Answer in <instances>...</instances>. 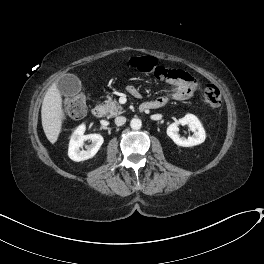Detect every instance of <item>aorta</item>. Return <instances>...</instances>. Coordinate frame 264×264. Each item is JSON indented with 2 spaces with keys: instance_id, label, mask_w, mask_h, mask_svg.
<instances>
[{
  "instance_id": "obj_1",
  "label": "aorta",
  "mask_w": 264,
  "mask_h": 264,
  "mask_svg": "<svg viewBox=\"0 0 264 264\" xmlns=\"http://www.w3.org/2000/svg\"><path fill=\"white\" fill-rule=\"evenodd\" d=\"M130 126L133 130H139L142 126V121L139 118H133L130 122Z\"/></svg>"
}]
</instances>
